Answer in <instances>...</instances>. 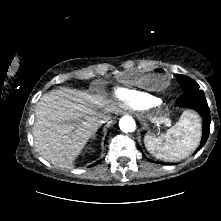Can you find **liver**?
<instances>
[{
  "instance_id": "1",
  "label": "liver",
  "mask_w": 221,
  "mask_h": 221,
  "mask_svg": "<svg viewBox=\"0 0 221 221\" xmlns=\"http://www.w3.org/2000/svg\"><path fill=\"white\" fill-rule=\"evenodd\" d=\"M117 111L102 92L61 88L36 104L33 137L36 151L54 166L71 169L88 140L99 129L102 113Z\"/></svg>"
}]
</instances>
